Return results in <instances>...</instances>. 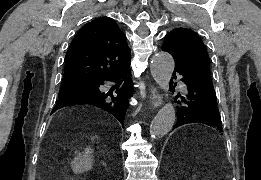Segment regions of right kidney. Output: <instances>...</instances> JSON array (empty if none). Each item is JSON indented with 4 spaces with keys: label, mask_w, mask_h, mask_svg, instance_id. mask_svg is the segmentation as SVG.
Instances as JSON below:
<instances>
[{
    "label": "right kidney",
    "mask_w": 261,
    "mask_h": 180,
    "mask_svg": "<svg viewBox=\"0 0 261 180\" xmlns=\"http://www.w3.org/2000/svg\"><path fill=\"white\" fill-rule=\"evenodd\" d=\"M93 150L91 148H85L84 152L77 154L74 158L72 164V170L74 174H83V172H88L93 166Z\"/></svg>",
    "instance_id": "obj_1"
}]
</instances>
